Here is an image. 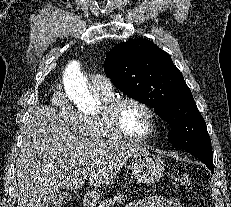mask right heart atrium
<instances>
[{
	"mask_svg": "<svg viewBox=\"0 0 231 207\" xmlns=\"http://www.w3.org/2000/svg\"><path fill=\"white\" fill-rule=\"evenodd\" d=\"M50 102L55 114L64 125L70 128L78 127L80 114L71 107L61 89H57L52 93Z\"/></svg>",
	"mask_w": 231,
	"mask_h": 207,
	"instance_id": "1",
	"label": "right heart atrium"
}]
</instances>
